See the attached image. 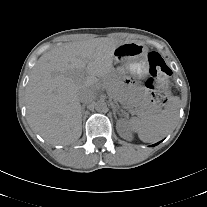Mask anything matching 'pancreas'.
<instances>
[{"label": "pancreas", "mask_w": 207, "mask_h": 207, "mask_svg": "<svg viewBox=\"0 0 207 207\" xmlns=\"http://www.w3.org/2000/svg\"><path fill=\"white\" fill-rule=\"evenodd\" d=\"M105 86L109 93H111L116 98L118 97L120 86L116 81L114 80L106 81ZM128 107L134 108L135 113L139 116H148L155 111V106H153L149 101L146 100L145 101L138 100L135 104L128 105Z\"/></svg>", "instance_id": "pancreas-1"}]
</instances>
